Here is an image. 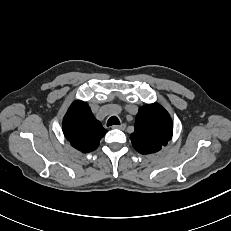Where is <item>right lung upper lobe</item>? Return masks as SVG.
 <instances>
[{"instance_id": "1", "label": "right lung upper lobe", "mask_w": 231, "mask_h": 231, "mask_svg": "<svg viewBox=\"0 0 231 231\" xmlns=\"http://www.w3.org/2000/svg\"><path fill=\"white\" fill-rule=\"evenodd\" d=\"M62 125L67 140L83 153L95 150L107 132L94 117L87 103L80 100L71 105Z\"/></svg>"}]
</instances>
